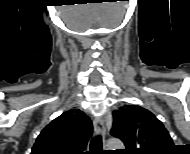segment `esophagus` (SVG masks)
Listing matches in <instances>:
<instances>
[{"mask_svg": "<svg viewBox=\"0 0 190 154\" xmlns=\"http://www.w3.org/2000/svg\"><path fill=\"white\" fill-rule=\"evenodd\" d=\"M93 124L95 133L101 135L104 139L106 135V128L103 119L101 117L95 118Z\"/></svg>", "mask_w": 190, "mask_h": 154, "instance_id": "obj_1", "label": "esophagus"}]
</instances>
